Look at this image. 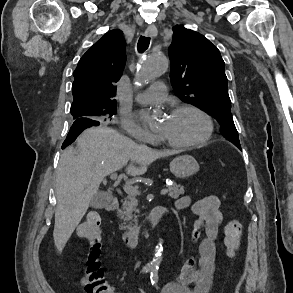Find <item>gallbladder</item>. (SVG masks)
Masks as SVG:
<instances>
[{
    "mask_svg": "<svg viewBox=\"0 0 293 293\" xmlns=\"http://www.w3.org/2000/svg\"><path fill=\"white\" fill-rule=\"evenodd\" d=\"M111 199V196L106 192H98L95 194L90 202V206L95 209L105 207Z\"/></svg>",
    "mask_w": 293,
    "mask_h": 293,
    "instance_id": "obj_1",
    "label": "gallbladder"
}]
</instances>
